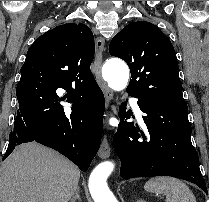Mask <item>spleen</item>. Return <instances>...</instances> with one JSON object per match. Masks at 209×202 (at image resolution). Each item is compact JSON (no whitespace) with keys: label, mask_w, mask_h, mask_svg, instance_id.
<instances>
[{"label":"spleen","mask_w":209,"mask_h":202,"mask_svg":"<svg viewBox=\"0 0 209 202\" xmlns=\"http://www.w3.org/2000/svg\"><path fill=\"white\" fill-rule=\"evenodd\" d=\"M144 189L151 193L165 194L166 202H196L189 187L173 177H154L149 179Z\"/></svg>","instance_id":"spleen-1"}]
</instances>
